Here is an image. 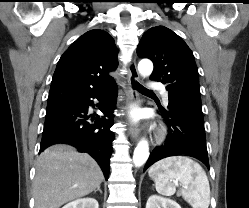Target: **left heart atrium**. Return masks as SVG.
<instances>
[{
  "label": "left heart atrium",
  "instance_id": "obj_1",
  "mask_svg": "<svg viewBox=\"0 0 249 208\" xmlns=\"http://www.w3.org/2000/svg\"><path fill=\"white\" fill-rule=\"evenodd\" d=\"M130 117L133 119V120H136L138 118V114L136 111H131L130 112Z\"/></svg>",
  "mask_w": 249,
  "mask_h": 208
}]
</instances>
